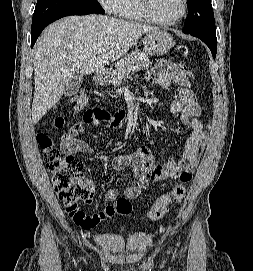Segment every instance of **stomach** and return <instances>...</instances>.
Returning <instances> with one entry per match:
<instances>
[{
  "label": "stomach",
  "instance_id": "1",
  "mask_svg": "<svg viewBox=\"0 0 253 271\" xmlns=\"http://www.w3.org/2000/svg\"><path fill=\"white\" fill-rule=\"evenodd\" d=\"M143 43L148 53L157 56L166 54L174 46L172 36L160 29L147 32ZM100 81L111 82V76L106 75Z\"/></svg>",
  "mask_w": 253,
  "mask_h": 271
}]
</instances>
